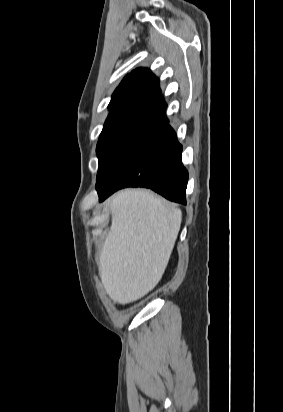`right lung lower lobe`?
Segmentation results:
<instances>
[{
	"label": "right lung lower lobe",
	"instance_id": "obj_1",
	"mask_svg": "<svg viewBox=\"0 0 283 412\" xmlns=\"http://www.w3.org/2000/svg\"><path fill=\"white\" fill-rule=\"evenodd\" d=\"M181 153L182 146L164 115L97 181L99 200L125 187H146L171 201L186 204L188 172Z\"/></svg>",
	"mask_w": 283,
	"mask_h": 412
}]
</instances>
